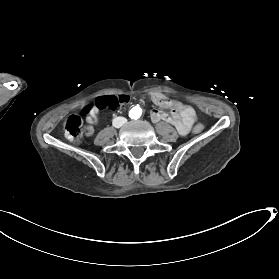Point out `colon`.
I'll return each instance as SVG.
<instances>
[{
  "mask_svg": "<svg viewBox=\"0 0 279 279\" xmlns=\"http://www.w3.org/2000/svg\"><path fill=\"white\" fill-rule=\"evenodd\" d=\"M130 101L129 96L127 95H104L96 98L94 103L88 104L84 107V112L89 113L90 110L96 108L98 110L102 109H111L116 110L119 109ZM180 109L187 113H193L192 108L181 104ZM204 125L202 123H197L193 132L195 134H199L203 132ZM88 132V129L84 126L83 120L78 115H71L68 117L64 124V135L65 137L72 142H80L84 135Z\"/></svg>",
  "mask_w": 279,
  "mask_h": 279,
  "instance_id": "colon-1",
  "label": "colon"
}]
</instances>
